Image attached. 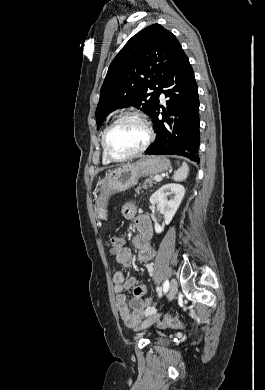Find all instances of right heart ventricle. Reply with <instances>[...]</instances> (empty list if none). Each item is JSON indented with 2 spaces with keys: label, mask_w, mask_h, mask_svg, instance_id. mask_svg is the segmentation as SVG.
Returning <instances> with one entry per match:
<instances>
[{
  "label": "right heart ventricle",
  "mask_w": 265,
  "mask_h": 390,
  "mask_svg": "<svg viewBox=\"0 0 265 390\" xmlns=\"http://www.w3.org/2000/svg\"><path fill=\"white\" fill-rule=\"evenodd\" d=\"M103 134H104V132H103ZM102 137H103V135H102ZM102 161H103L104 164H109V163L111 162V161L107 158V156L105 155L104 150H103V153H102Z\"/></svg>",
  "instance_id": "1"
}]
</instances>
